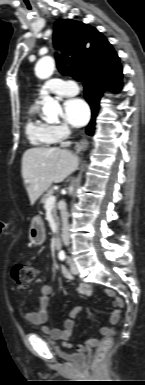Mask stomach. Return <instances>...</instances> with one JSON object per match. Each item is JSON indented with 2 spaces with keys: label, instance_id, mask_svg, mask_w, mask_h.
Instances as JSON below:
<instances>
[{
  "label": "stomach",
  "instance_id": "stomach-1",
  "mask_svg": "<svg viewBox=\"0 0 145 385\" xmlns=\"http://www.w3.org/2000/svg\"><path fill=\"white\" fill-rule=\"evenodd\" d=\"M45 229L42 220L39 217H35L32 220L28 238L32 245H41L45 241Z\"/></svg>",
  "mask_w": 145,
  "mask_h": 385
}]
</instances>
